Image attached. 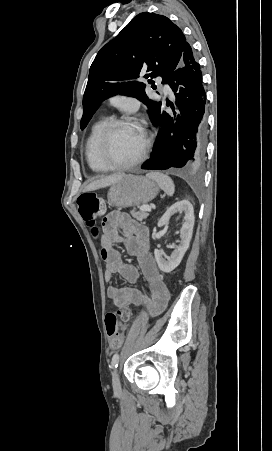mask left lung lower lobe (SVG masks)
<instances>
[{
    "label": "left lung lower lobe",
    "instance_id": "left-lung-lower-lobe-1",
    "mask_svg": "<svg viewBox=\"0 0 272 451\" xmlns=\"http://www.w3.org/2000/svg\"><path fill=\"white\" fill-rule=\"evenodd\" d=\"M168 84L175 92L177 117L161 112L156 121L160 131L151 158L143 169H191L205 158L206 93L202 72L192 48L187 44Z\"/></svg>",
    "mask_w": 272,
    "mask_h": 451
}]
</instances>
